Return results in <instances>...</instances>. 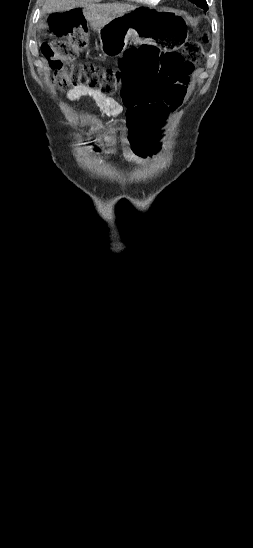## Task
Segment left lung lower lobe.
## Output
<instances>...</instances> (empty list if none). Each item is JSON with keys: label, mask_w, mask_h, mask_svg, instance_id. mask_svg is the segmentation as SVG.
I'll return each mask as SVG.
<instances>
[{"label": "left lung lower lobe", "mask_w": 253, "mask_h": 548, "mask_svg": "<svg viewBox=\"0 0 253 548\" xmlns=\"http://www.w3.org/2000/svg\"><path fill=\"white\" fill-rule=\"evenodd\" d=\"M197 6H200L201 8H203L205 11L208 9V6L207 4H196Z\"/></svg>", "instance_id": "obj_1"}]
</instances>
